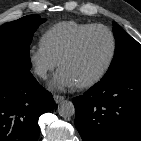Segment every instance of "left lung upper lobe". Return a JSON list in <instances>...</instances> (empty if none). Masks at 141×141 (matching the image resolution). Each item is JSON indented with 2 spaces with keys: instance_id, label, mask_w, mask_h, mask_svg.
I'll return each instance as SVG.
<instances>
[{
  "instance_id": "obj_1",
  "label": "left lung upper lobe",
  "mask_w": 141,
  "mask_h": 141,
  "mask_svg": "<svg viewBox=\"0 0 141 141\" xmlns=\"http://www.w3.org/2000/svg\"><path fill=\"white\" fill-rule=\"evenodd\" d=\"M116 40L112 63L102 80H108L128 71L141 70V45L113 22Z\"/></svg>"
}]
</instances>
